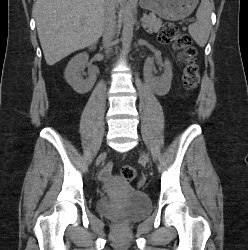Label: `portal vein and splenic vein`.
Returning a JSON list of instances; mask_svg holds the SVG:
<instances>
[{
	"label": "portal vein and splenic vein",
	"mask_w": 248,
	"mask_h": 250,
	"mask_svg": "<svg viewBox=\"0 0 248 250\" xmlns=\"http://www.w3.org/2000/svg\"><path fill=\"white\" fill-rule=\"evenodd\" d=\"M141 21L144 23V22L146 21L145 17H143V18L141 19Z\"/></svg>",
	"instance_id": "18ae733b"
}]
</instances>
